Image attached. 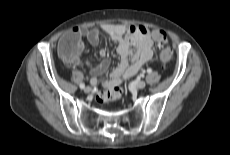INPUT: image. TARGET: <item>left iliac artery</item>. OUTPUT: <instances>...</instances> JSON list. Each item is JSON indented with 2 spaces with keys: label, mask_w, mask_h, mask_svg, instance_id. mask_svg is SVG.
I'll return each mask as SVG.
<instances>
[{
  "label": "left iliac artery",
  "mask_w": 230,
  "mask_h": 155,
  "mask_svg": "<svg viewBox=\"0 0 230 155\" xmlns=\"http://www.w3.org/2000/svg\"><path fill=\"white\" fill-rule=\"evenodd\" d=\"M147 72H148V73H151V72H152V70H151V69H147Z\"/></svg>",
  "instance_id": "left-iliac-artery-1"
}]
</instances>
